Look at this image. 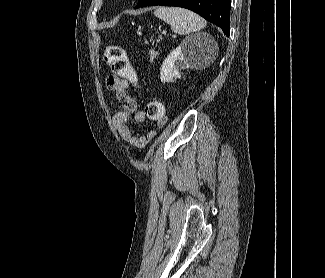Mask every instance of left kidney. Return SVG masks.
I'll return each mask as SVG.
<instances>
[{"mask_svg":"<svg viewBox=\"0 0 325 278\" xmlns=\"http://www.w3.org/2000/svg\"><path fill=\"white\" fill-rule=\"evenodd\" d=\"M197 53L198 49L195 43L183 41L163 61L160 71L161 81L164 83L174 82L177 78H181L180 70L191 67Z\"/></svg>","mask_w":325,"mask_h":278,"instance_id":"1","label":"left kidney"}]
</instances>
